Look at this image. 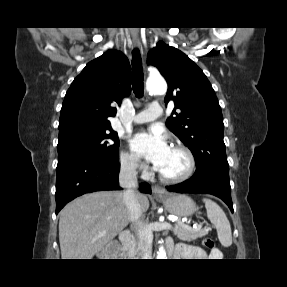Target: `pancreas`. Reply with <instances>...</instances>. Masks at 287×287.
Masks as SVG:
<instances>
[{
    "label": "pancreas",
    "instance_id": "cf45deb5",
    "mask_svg": "<svg viewBox=\"0 0 287 287\" xmlns=\"http://www.w3.org/2000/svg\"><path fill=\"white\" fill-rule=\"evenodd\" d=\"M173 233L180 240L191 242L197 238L205 236L208 233V230L202 228H190L189 226L177 222L174 225ZM131 248L133 250V255H137L141 250V243L133 240L131 243Z\"/></svg>",
    "mask_w": 287,
    "mask_h": 287
}]
</instances>
